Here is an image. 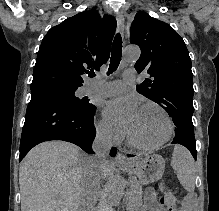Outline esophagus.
I'll return each instance as SVG.
<instances>
[{
    "mask_svg": "<svg viewBox=\"0 0 219 211\" xmlns=\"http://www.w3.org/2000/svg\"><path fill=\"white\" fill-rule=\"evenodd\" d=\"M116 20H117L119 30H120L121 34H123L124 33V17H123V15L121 13H118L116 15ZM115 162L117 164H121V163L126 162L125 156H123L122 153H118L116 158H115Z\"/></svg>",
    "mask_w": 219,
    "mask_h": 211,
    "instance_id": "obj_1",
    "label": "esophagus"
}]
</instances>
